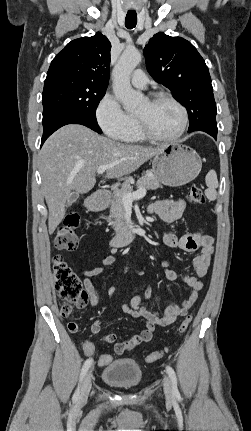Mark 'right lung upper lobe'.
<instances>
[{
  "instance_id": "obj_1",
  "label": "right lung upper lobe",
  "mask_w": 251,
  "mask_h": 431,
  "mask_svg": "<svg viewBox=\"0 0 251 431\" xmlns=\"http://www.w3.org/2000/svg\"><path fill=\"white\" fill-rule=\"evenodd\" d=\"M110 49V41L100 32L75 39L55 56L48 73L62 72L108 85Z\"/></svg>"
}]
</instances>
